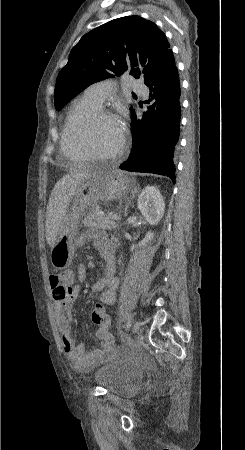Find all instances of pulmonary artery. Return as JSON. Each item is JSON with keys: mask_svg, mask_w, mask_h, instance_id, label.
Segmentation results:
<instances>
[{"mask_svg": "<svg viewBox=\"0 0 245 450\" xmlns=\"http://www.w3.org/2000/svg\"><path fill=\"white\" fill-rule=\"evenodd\" d=\"M124 84L129 86L130 90L134 93H141L144 84L137 79L130 77L123 80ZM115 87L111 82L100 81L90 85L85 89L84 94L91 101L101 106L107 97L115 94Z\"/></svg>", "mask_w": 245, "mask_h": 450, "instance_id": "e3ab8cb5", "label": "pulmonary artery"}]
</instances>
